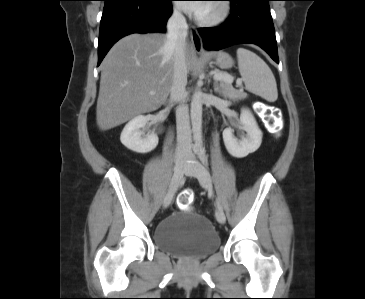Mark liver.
<instances>
[{"instance_id": "obj_1", "label": "liver", "mask_w": 365, "mask_h": 299, "mask_svg": "<svg viewBox=\"0 0 365 299\" xmlns=\"http://www.w3.org/2000/svg\"><path fill=\"white\" fill-rule=\"evenodd\" d=\"M185 60L191 70L194 51L188 43ZM173 69L174 48L167 36L132 34L118 41L101 64L96 108L99 128L109 130L160 108L169 96Z\"/></svg>"}]
</instances>
